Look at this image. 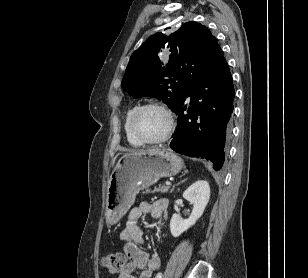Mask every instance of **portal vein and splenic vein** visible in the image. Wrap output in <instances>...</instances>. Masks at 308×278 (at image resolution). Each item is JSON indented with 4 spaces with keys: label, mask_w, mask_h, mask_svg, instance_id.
Instances as JSON below:
<instances>
[{
    "label": "portal vein and splenic vein",
    "mask_w": 308,
    "mask_h": 278,
    "mask_svg": "<svg viewBox=\"0 0 308 278\" xmlns=\"http://www.w3.org/2000/svg\"><path fill=\"white\" fill-rule=\"evenodd\" d=\"M166 185H167V186H170V185H171V182L167 181V182H166Z\"/></svg>",
    "instance_id": "1"
}]
</instances>
